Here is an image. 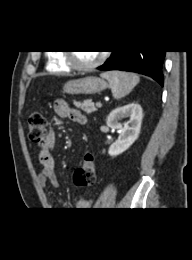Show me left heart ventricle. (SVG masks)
Wrapping results in <instances>:
<instances>
[{
  "mask_svg": "<svg viewBox=\"0 0 192 260\" xmlns=\"http://www.w3.org/2000/svg\"><path fill=\"white\" fill-rule=\"evenodd\" d=\"M99 56L100 53L95 51H80L75 53L77 62L83 65L93 63Z\"/></svg>",
  "mask_w": 192,
  "mask_h": 260,
  "instance_id": "left-heart-ventricle-1",
  "label": "left heart ventricle"
}]
</instances>
